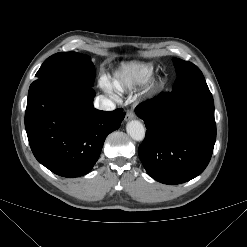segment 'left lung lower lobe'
I'll return each mask as SVG.
<instances>
[{
  "instance_id": "1",
  "label": "left lung lower lobe",
  "mask_w": 247,
  "mask_h": 247,
  "mask_svg": "<svg viewBox=\"0 0 247 247\" xmlns=\"http://www.w3.org/2000/svg\"><path fill=\"white\" fill-rule=\"evenodd\" d=\"M135 112L147 128L138 153L152 178L176 185L204 171L216 140L209 88L164 93L138 105Z\"/></svg>"
}]
</instances>
